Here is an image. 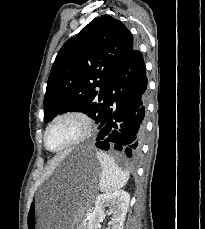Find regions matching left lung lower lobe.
Returning a JSON list of instances; mask_svg holds the SVG:
<instances>
[{"instance_id":"0a47b994","label":"left lung lower lobe","mask_w":205,"mask_h":229,"mask_svg":"<svg viewBox=\"0 0 205 229\" xmlns=\"http://www.w3.org/2000/svg\"><path fill=\"white\" fill-rule=\"evenodd\" d=\"M147 77L142 54L135 48L121 64L108 90V102L98 124L96 147L139 155L145 130Z\"/></svg>"}]
</instances>
